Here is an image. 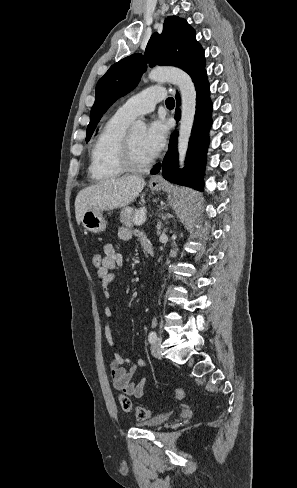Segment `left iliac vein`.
<instances>
[{"mask_svg":"<svg viewBox=\"0 0 297 488\" xmlns=\"http://www.w3.org/2000/svg\"><path fill=\"white\" fill-rule=\"evenodd\" d=\"M161 339L156 338V340L153 342L151 345V353L153 354L154 357L161 359Z\"/></svg>","mask_w":297,"mask_h":488,"instance_id":"obj_1","label":"left iliac vein"}]
</instances>
